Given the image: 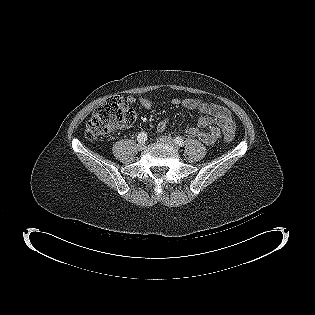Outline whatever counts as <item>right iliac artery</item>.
<instances>
[{
    "label": "right iliac artery",
    "instance_id": "right-iliac-artery-1",
    "mask_svg": "<svg viewBox=\"0 0 315 315\" xmlns=\"http://www.w3.org/2000/svg\"><path fill=\"white\" fill-rule=\"evenodd\" d=\"M137 140L139 143L145 142L147 140V133L146 132H140L137 136Z\"/></svg>",
    "mask_w": 315,
    "mask_h": 315
}]
</instances>
